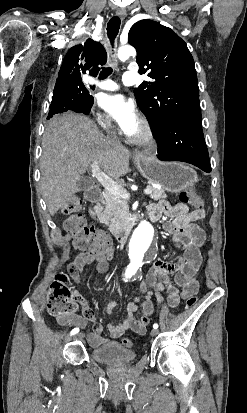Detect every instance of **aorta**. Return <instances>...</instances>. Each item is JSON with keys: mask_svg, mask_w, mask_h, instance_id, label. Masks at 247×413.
<instances>
[{"mask_svg": "<svg viewBox=\"0 0 247 413\" xmlns=\"http://www.w3.org/2000/svg\"><path fill=\"white\" fill-rule=\"evenodd\" d=\"M136 55V50L130 46H123L118 49L117 56L119 60L126 61L130 57ZM153 235V228L147 221H142L133 235L134 241H137V246L131 251V264L130 267L135 271L139 264L142 262L144 252L148 243L151 241Z\"/></svg>", "mask_w": 247, "mask_h": 413, "instance_id": "1", "label": "aorta"}]
</instances>
